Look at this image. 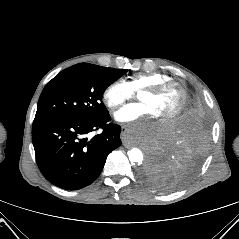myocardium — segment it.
Masks as SVG:
<instances>
[{"mask_svg":"<svg viewBox=\"0 0 239 239\" xmlns=\"http://www.w3.org/2000/svg\"><path fill=\"white\" fill-rule=\"evenodd\" d=\"M169 89H175L179 94L180 100L177 107L172 112L168 113L167 115L163 117L164 120H171L177 117L183 111L187 102L186 90L177 82L169 80L166 82L159 83L157 85L147 87L140 92V94L149 93L153 95H159Z\"/></svg>","mask_w":239,"mask_h":239,"instance_id":"1","label":"myocardium"}]
</instances>
